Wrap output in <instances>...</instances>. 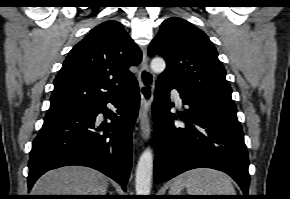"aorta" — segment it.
<instances>
[{
	"instance_id": "aorta-1",
	"label": "aorta",
	"mask_w": 290,
	"mask_h": 199,
	"mask_svg": "<svg viewBox=\"0 0 290 199\" xmlns=\"http://www.w3.org/2000/svg\"><path fill=\"white\" fill-rule=\"evenodd\" d=\"M151 69L155 73H161L166 68L164 59L156 57L151 61ZM153 175V155L150 148H146L141 154L135 178L136 195H150L151 180Z\"/></svg>"
}]
</instances>
